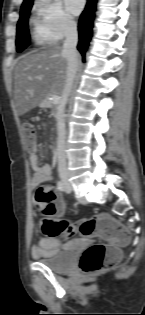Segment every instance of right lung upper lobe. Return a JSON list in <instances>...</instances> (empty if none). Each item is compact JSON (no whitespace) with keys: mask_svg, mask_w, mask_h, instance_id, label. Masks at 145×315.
Segmentation results:
<instances>
[{"mask_svg":"<svg viewBox=\"0 0 145 315\" xmlns=\"http://www.w3.org/2000/svg\"><path fill=\"white\" fill-rule=\"evenodd\" d=\"M33 3V0H24L23 4H22V7L23 6H27L29 4H32Z\"/></svg>","mask_w":145,"mask_h":315,"instance_id":"obj_1","label":"right lung upper lobe"}]
</instances>
